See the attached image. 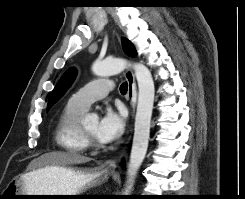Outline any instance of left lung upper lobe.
Wrapping results in <instances>:
<instances>
[{
    "instance_id": "1",
    "label": "left lung upper lobe",
    "mask_w": 245,
    "mask_h": 199,
    "mask_svg": "<svg viewBox=\"0 0 245 199\" xmlns=\"http://www.w3.org/2000/svg\"><path fill=\"white\" fill-rule=\"evenodd\" d=\"M123 48L125 53L128 56L135 57L137 55L135 48L133 45L126 39H123ZM76 75V71L74 69H69L58 81L54 90L52 91L49 102H48V109L57 102L68 89L70 84L73 82Z\"/></svg>"
}]
</instances>
